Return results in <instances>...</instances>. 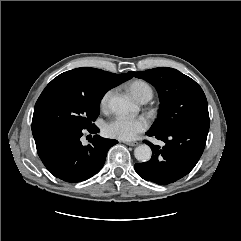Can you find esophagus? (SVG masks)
I'll use <instances>...</instances> for the list:
<instances>
[{
  "label": "esophagus",
  "mask_w": 241,
  "mask_h": 241,
  "mask_svg": "<svg viewBox=\"0 0 241 241\" xmlns=\"http://www.w3.org/2000/svg\"><path fill=\"white\" fill-rule=\"evenodd\" d=\"M124 143H125L126 145H129V146H132V147L138 145V142H136V141H132V142H130V141H126V142H124Z\"/></svg>",
  "instance_id": "1"
}]
</instances>
